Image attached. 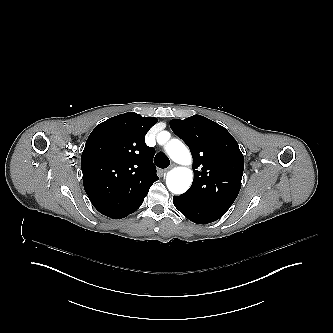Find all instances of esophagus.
Segmentation results:
<instances>
[{"label":"esophagus","mask_w":333,"mask_h":333,"mask_svg":"<svg viewBox=\"0 0 333 333\" xmlns=\"http://www.w3.org/2000/svg\"><path fill=\"white\" fill-rule=\"evenodd\" d=\"M174 167H176V164L173 163L168 168H166L165 170H163V173H167L169 170H171Z\"/></svg>","instance_id":"34e87169"}]
</instances>
